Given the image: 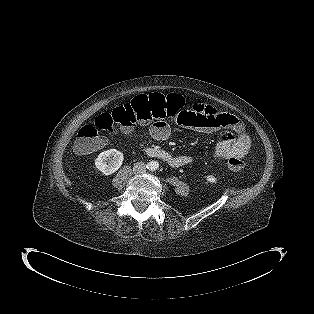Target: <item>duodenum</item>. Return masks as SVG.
<instances>
[{
	"mask_svg": "<svg viewBox=\"0 0 314 314\" xmlns=\"http://www.w3.org/2000/svg\"><path fill=\"white\" fill-rule=\"evenodd\" d=\"M145 152L149 156L163 159V160L169 162L170 164H172L175 161V157H173L168 151L163 150V149L147 147V148H145Z\"/></svg>",
	"mask_w": 314,
	"mask_h": 314,
	"instance_id": "duodenum-1",
	"label": "duodenum"
}]
</instances>
